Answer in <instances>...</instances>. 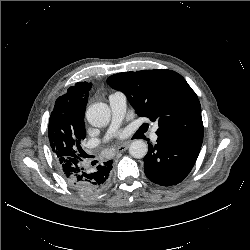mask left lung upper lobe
Here are the masks:
<instances>
[{
  "instance_id": "5c2ea615",
  "label": "left lung upper lobe",
  "mask_w": 250,
  "mask_h": 250,
  "mask_svg": "<svg viewBox=\"0 0 250 250\" xmlns=\"http://www.w3.org/2000/svg\"><path fill=\"white\" fill-rule=\"evenodd\" d=\"M107 82L126 95L138 116L158 122V137L203 140L200 102L180 74L166 69L122 72Z\"/></svg>"
}]
</instances>
